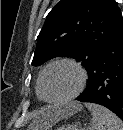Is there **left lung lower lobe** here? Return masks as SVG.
Here are the masks:
<instances>
[{
    "instance_id": "left-lung-lower-lobe-1",
    "label": "left lung lower lobe",
    "mask_w": 123,
    "mask_h": 130,
    "mask_svg": "<svg viewBox=\"0 0 123 130\" xmlns=\"http://www.w3.org/2000/svg\"><path fill=\"white\" fill-rule=\"evenodd\" d=\"M88 76L77 100L103 105L123 119V26L97 55Z\"/></svg>"
}]
</instances>
